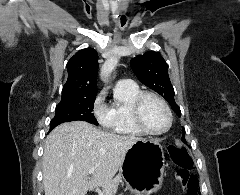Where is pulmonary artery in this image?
<instances>
[{
	"label": "pulmonary artery",
	"mask_w": 240,
	"mask_h": 195,
	"mask_svg": "<svg viewBox=\"0 0 240 195\" xmlns=\"http://www.w3.org/2000/svg\"><path fill=\"white\" fill-rule=\"evenodd\" d=\"M121 82H122V83H130V82H131V79H130V78H122V79H121Z\"/></svg>",
	"instance_id": "pulmonary-artery-1"
}]
</instances>
